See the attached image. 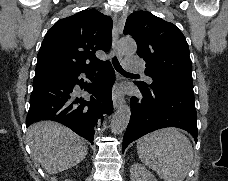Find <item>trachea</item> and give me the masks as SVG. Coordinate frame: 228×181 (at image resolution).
Masks as SVG:
<instances>
[{"label": "trachea", "mask_w": 228, "mask_h": 181, "mask_svg": "<svg viewBox=\"0 0 228 181\" xmlns=\"http://www.w3.org/2000/svg\"><path fill=\"white\" fill-rule=\"evenodd\" d=\"M112 63H113V66L115 68L116 71H118L119 73L121 74H127V75H131L133 73H128L127 71L123 70L122 66L120 65L118 59L116 58V56H114L112 58Z\"/></svg>", "instance_id": "trachea-1"}]
</instances>
